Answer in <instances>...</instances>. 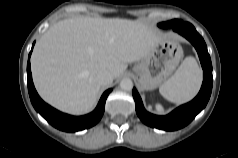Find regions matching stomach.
Wrapping results in <instances>:
<instances>
[{
    "label": "stomach",
    "instance_id": "stomach-1",
    "mask_svg": "<svg viewBox=\"0 0 238 158\" xmlns=\"http://www.w3.org/2000/svg\"><path fill=\"white\" fill-rule=\"evenodd\" d=\"M183 57V49L172 35H163L139 63L133 67L139 84L153 90L171 76Z\"/></svg>",
    "mask_w": 238,
    "mask_h": 158
}]
</instances>
